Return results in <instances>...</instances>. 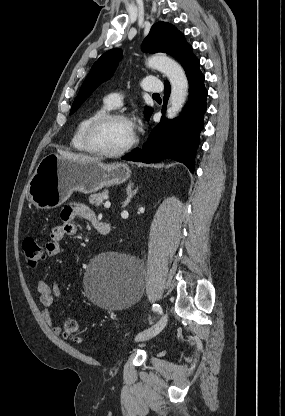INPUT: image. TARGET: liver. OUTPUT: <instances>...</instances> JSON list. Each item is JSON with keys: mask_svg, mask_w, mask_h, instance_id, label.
I'll return each instance as SVG.
<instances>
[{"mask_svg": "<svg viewBox=\"0 0 285 416\" xmlns=\"http://www.w3.org/2000/svg\"><path fill=\"white\" fill-rule=\"evenodd\" d=\"M58 154L66 160H79V162H99L100 158H91L86 154H72V152H63V150H57Z\"/></svg>", "mask_w": 285, "mask_h": 416, "instance_id": "1", "label": "liver"}]
</instances>
